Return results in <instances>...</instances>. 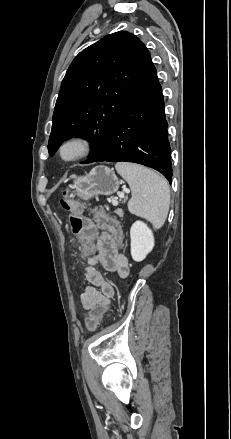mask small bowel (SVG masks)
I'll list each match as a JSON object with an SVG mask.
<instances>
[{"label": "small bowel", "instance_id": "c3829d8e", "mask_svg": "<svg viewBox=\"0 0 231 439\" xmlns=\"http://www.w3.org/2000/svg\"><path fill=\"white\" fill-rule=\"evenodd\" d=\"M119 246L112 232H103L95 245L84 247L83 252L93 250L94 257L85 267L84 278L87 284L79 297V305L82 309L88 311L89 306H94L95 303H108L111 307L116 289L114 284L97 269V265L100 264L105 270L115 272L120 277H126L129 273V265Z\"/></svg>", "mask_w": 231, "mask_h": 439}]
</instances>
